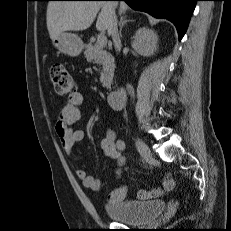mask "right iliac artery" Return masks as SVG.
<instances>
[{"mask_svg": "<svg viewBox=\"0 0 231 231\" xmlns=\"http://www.w3.org/2000/svg\"><path fill=\"white\" fill-rule=\"evenodd\" d=\"M118 148L120 150H124L125 149V143H124V141H122V140L118 141Z\"/></svg>", "mask_w": 231, "mask_h": 231, "instance_id": "82829eb1", "label": "right iliac artery"}]
</instances>
